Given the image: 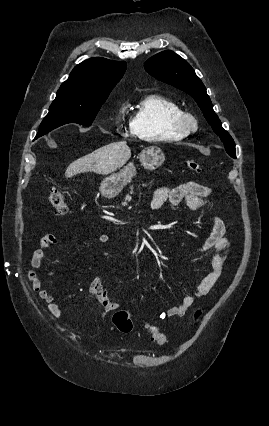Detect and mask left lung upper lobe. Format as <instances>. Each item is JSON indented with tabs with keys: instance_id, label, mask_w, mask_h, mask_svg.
<instances>
[{
	"instance_id": "left-lung-upper-lobe-1",
	"label": "left lung upper lobe",
	"mask_w": 269,
	"mask_h": 426,
	"mask_svg": "<svg viewBox=\"0 0 269 426\" xmlns=\"http://www.w3.org/2000/svg\"><path fill=\"white\" fill-rule=\"evenodd\" d=\"M145 70L153 77L188 93L197 102L214 132L225 145L226 152L236 158L235 143L229 133L223 129L221 121L213 110L206 88L193 68L182 57L167 50L160 52L144 64Z\"/></svg>"
}]
</instances>
